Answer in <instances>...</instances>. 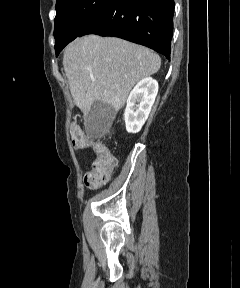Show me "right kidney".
<instances>
[{
    "instance_id": "right-kidney-1",
    "label": "right kidney",
    "mask_w": 240,
    "mask_h": 288,
    "mask_svg": "<svg viewBox=\"0 0 240 288\" xmlns=\"http://www.w3.org/2000/svg\"><path fill=\"white\" fill-rule=\"evenodd\" d=\"M157 93L158 82L151 77L139 81L130 92L124 113L128 133H138L141 130L148 118Z\"/></svg>"
}]
</instances>
